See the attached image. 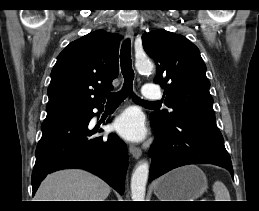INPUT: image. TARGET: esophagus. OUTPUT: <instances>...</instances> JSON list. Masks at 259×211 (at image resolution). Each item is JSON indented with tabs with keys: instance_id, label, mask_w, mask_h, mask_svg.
Returning <instances> with one entry per match:
<instances>
[{
	"instance_id": "34e87169",
	"label": "esophagus",
	"mask_w": 259,
	"mask_h": 211,
	"mask_svg": "<svg viewBox=\"0 0 259 211\" xmlns=\"http://www.w3.org/2000/svg\"><path fill=\"white\" fill-rule=\"evenodd\" d=\"M126 36L131 40V42L134 39V31L131 27H128L126 30ZM129 151L132 154L134 158H139L142 154L141 149L135 145H130Z\"/></svg>"
}]
</instances>
